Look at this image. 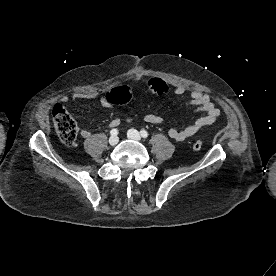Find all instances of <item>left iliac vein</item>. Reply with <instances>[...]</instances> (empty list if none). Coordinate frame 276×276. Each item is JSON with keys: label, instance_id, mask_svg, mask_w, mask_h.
<instances>
[{"label": "left iliac vein", "instance_id": "1", "mask_svg": "<svg viewBox=\"0 0 276 276\" xmlns=\"http://www.w3.org/2000/svg\"><path fill=\"white\" fill-rule=\"evenodd\" d=\"M127 135H128L129 139H132V140H135V141H140L141 140L140 133L135 129H130L127 132Z\"/></svg>", "mask_w": 276, "mask_h": 276}]
</instances>
